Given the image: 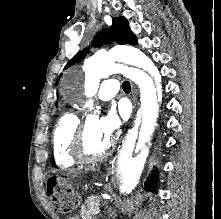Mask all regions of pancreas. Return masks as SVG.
<instances>
[{
    "label": "pancreas",
    "instance_id": "cf45deb5",
    "mask_svg": "<svg viewBox=\"0 0 221 219\" xmlns=\"http://www.w3.org/2000/svg\"><path fill=\"white\" fill-rule=\"evenodd\" d=\"M99 205L100 199L88 198L81 207L80 216L82 219H93Z\"/></svg>",
    "mask_w": 221,
    "mask_h": 219
}]
</instances>
